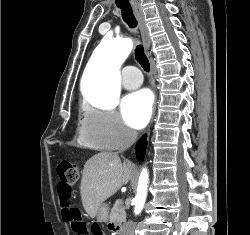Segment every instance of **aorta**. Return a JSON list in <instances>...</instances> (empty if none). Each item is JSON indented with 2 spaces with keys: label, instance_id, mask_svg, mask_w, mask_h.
Listing matches in <instances>:
<instances>
[{
  "label": "aorta",
  "instance_id": "1",
  "mask_svg": "<svg viewBox=\"0 0 250 235\" xmlns=\"http://www.w3.org/2000/svg\"><path fill=\"white\" fill-rule=\"evenodd\" d=\"M132 40L118 42L103 40L93 52L86 69L87 81L83 88L85 98L93 104L108 108L118 99L120 89L119 66L129 55ZM148 188V172L143 169L134 198V213L139 214L144 206Z\"/></svg>",
  "mask_w": 250,
  "mask_h": 235
}]
</instances>
